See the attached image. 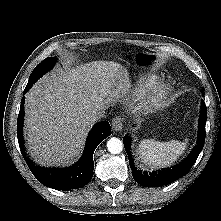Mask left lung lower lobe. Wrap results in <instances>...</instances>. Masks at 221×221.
I'll use <instances>...</instances> for the list:
<instances>
[{"instance_id": "left-lung-lower-lobe-1", "label": "left lung lower lobe", "mask_w": 221, "mask_h": 221, "mask_svg": "<svg viewBox=\"0 0 221 221\" xmlns=\"http://www.w3.org/2000/svg\"><path fill=\"white\" fill-rule=\"evenodd\" d=\"M207 119V109L205 106L204 101H201V113L199 118V131H198V139L197 145L191 151L190 155L183 160L180 164L173 166L172 168H167L163 170H158L154 172H146L142 170H138L133 163V158L130 151V145L132 138L126 135L123 138V143L125 150L128 154L130 166L132 169V175L135 181L142 186L145 187H155V186H162L167 185L175 180L181 178L182 176L186 175L191 167L194 165L195 161L197 160L201 150L204 146L205 141V125Z\"/></svg>"}]
</instances>
